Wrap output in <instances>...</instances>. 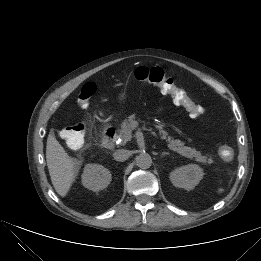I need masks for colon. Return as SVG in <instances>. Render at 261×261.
Listing matches in <instances>:
<instances>
[{
    "instance_id": "1",
    "label": "colon",
    "mask_w": 261,
    "mask_h": 261,
    "mask_svg": "<svg viewBox=\"0 0 261 261\" xmlns=\"http://www.w3.org/2000/svg\"><path fill=\"white\" fill-rule=\"evenodd\" d=\"M131 76L138 81L149 82L160 87V89L171 95L174 102L185 107L191 115L199 117L203 110L196 105L187 95L186 91L178 87L173 78L162 67L141 66L131 72ZM96 93V85L92 82L84 84L78 96V104L81 108L88 107L90 100ZM63 139L73 149L81 148L85 141L86 125L83 122H76L61 132ZM218 155L224 161H230L234 157V150L228 144H222L218 147Z\"/></svg>"
}]
</instances>
